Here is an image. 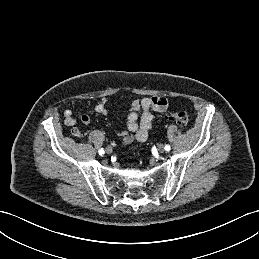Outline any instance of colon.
<instances>
[{
	"label": "colon",
	"instance_id": "obj_1",
	"mask_svg": "<svg viewBox=\"0 0 259 259\" xmlns=\"http://www.w3.org/2000/svg\"><path fill=\"white\" fill-rule=\"evenodd\" d=\"M168 120L174 122L180 126H187L189 123V116L186 112H175L168 115ZM77 134V131H74Z\"/></svg>",
	"mask_w": 259,
	"mask_h": 259
}]
</instances>
